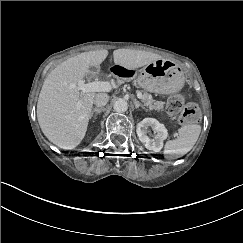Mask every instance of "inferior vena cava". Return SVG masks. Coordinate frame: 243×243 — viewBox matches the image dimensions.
Listing matches in <instances>:
<instances>
[{"label":"inferior vena cava","mask_w":243,"mask_h":243,"mask_svg":"<svg viewBox=\"0 0 243 243\" xmlns=\"http://www.w3.org/2000/svg\"><path fill=\"white\" fill-rule=\"evenodd\" d=\"M109 101V96L106 93H99L94 98V104L97 107L105 106Z\"/></svg>","instance_id":"inferior-vena-cava-1"}]
</instances>
